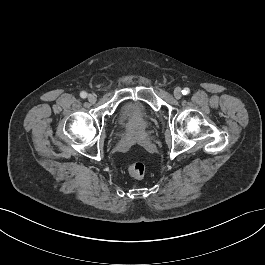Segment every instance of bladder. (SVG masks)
I'll use <instances>...</instances> for the list:
<instances>
[{
    "mask_svg": "<svg viewBox=\"0 0 265 265\" xmlns=\"http://www.w3.org/2000/svg\"><path fill=\"white\" fill-rule=\"evenodd\" d=\"M120 117L126 124L132 127L142 128L148 123L146 111L135 105H127L123 108Z\"/></svg>",
    "mask_w": 265,
    "mask_h": 265,
    "instance_id": "31cf9c89",
    "label": "bladder"
}]
</instances>
